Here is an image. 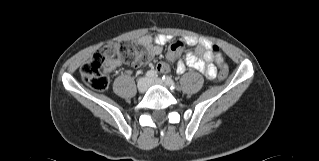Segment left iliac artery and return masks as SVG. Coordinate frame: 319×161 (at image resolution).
Listing matches in <instances>:
<instances>
[{
	"instance_id": "left-iliac-artery-1",
	"label": "left iliac artery",
	"mask_w": 319,
	"mask_h": 161,
	"mask_svg": "<svg viewBox=\"0 0 319 161\" xmlns=\"http://www.w3.org/2000/svg\"><path fill=\"white\" fill-rule=\"evenodd\" d=\"M162 79L171 89H175L177 87L175 82L169 76L164 75Z\"/></svg>"
}]
</instances>
